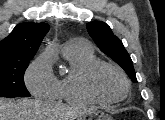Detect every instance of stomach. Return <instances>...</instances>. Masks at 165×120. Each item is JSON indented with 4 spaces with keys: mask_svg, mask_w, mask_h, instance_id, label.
<instances>
[{
    "mask_svg": "<svg viewBox=\"0 0 165 120\" xmlns=\"http://www.w3.org/2000/svg\"><path fill=\"white\" fill-rule=\"evenodd\" d=\"M94 117L102 120H113V118L109 114L102 111H89L83 115L84 120L87 118L88 120H92ZM80 120H82V117H80Z\"/></svg>",
    "mask_w": 165,
    "mask_h": 120,
    "instance_id": "1",
    "label": "stomach"
}]
</instances>
